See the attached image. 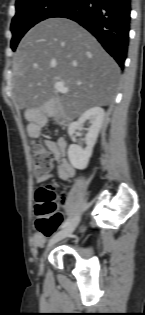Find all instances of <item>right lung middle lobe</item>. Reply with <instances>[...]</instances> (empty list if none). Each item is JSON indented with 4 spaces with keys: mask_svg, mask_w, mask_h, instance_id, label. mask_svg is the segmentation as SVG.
I'll return each instance as SVG.
<instances>
[{
    "mask_svg": "<svg viewBox=\"0 0 145 315\" xmlns=\"http://www.w3.org/2000/svg\"><path fill=\"white\" fill-rule=\"evenodd\" d=\"M72 0H20L16 2V14L12 19L11 48L14 51L25 33L42 20L53 17Z\"/></svg>",
    "mask_w": 145,
    "mask_h": 315,
    "instance_id": "obj_1",
    "label": "right lung middle lobe"
}]
</instances>
